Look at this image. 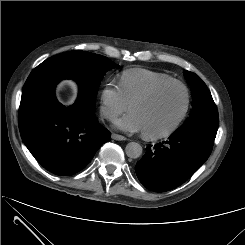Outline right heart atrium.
Masks as SVG:
<instances>
[{"label": "right heart atrium", "instance_id": "obj_1", "mask_svg": "<svg viewBox=\"0 0 245 245\" xmlns=\"http://www.w3.org/2000/svg\"><path fill=\"white\" fill-rule=\"evenodd\" d=\"M99 103L101 115L109 121L115 120L124 113L128 107L119 86L113 84H106L102 87Z\"/></svg>", "mask_w": 245, "mask_h": 245}]
</instances>
